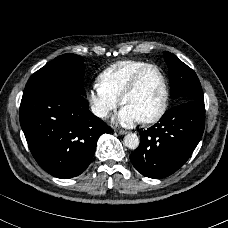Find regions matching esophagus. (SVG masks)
<instances>
[{
  "label": "esophagus",
  "mask_w": 228,
  "mask_h": 228,
  "mask_svg": "<svg viewBox=\"0 0 228 228\" xmlns=\"http://www.w3.org/2000/svg\"><path fill=\"white\" fill-rule=\"evenodd\" d=\"M115 132L119 135H125L127 133V131L124 129H115Z\"/></svg>",
  "instance_id": "obj_1"
}]
</instances>
